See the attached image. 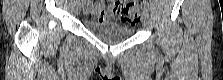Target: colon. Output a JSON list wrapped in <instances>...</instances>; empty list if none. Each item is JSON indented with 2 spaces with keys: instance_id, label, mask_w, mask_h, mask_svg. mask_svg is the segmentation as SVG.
Returning a JSON list of instances; mask_svg holds the SVG:
<instances>
[{
  "instance_id": "1",
  "label": "colon",
  "mask_w": 223,
  "mask_h": 80,
  "mask_svg": "<svg viewBox=\"0 0 223 80\" xmlns=\"http://www.w3.org/2000/svg\"><path fill=\"white\" fill-rule=\"evenodd\" d=\"M99 3V2H97ZM113 12L130 25H136L140 21V5L137 1H111ZM97 15V13H95Z\"/></svg>"
}]
</instances>
